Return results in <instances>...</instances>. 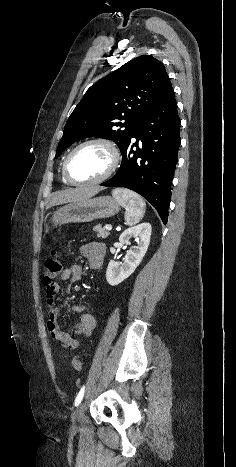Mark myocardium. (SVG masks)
<instances>
[{
  "label": "myocardium",
  "instance_id": "myocardium-1",
  "mask_svg": "<svg viewBox=\"0 0 236 467\" xmlns=\"http://www.w3.org/2000/svg\"><path fill=\"white\" fill-rule=\"evenodd\" d=\"M89 145H100V146L105 147L110 154V158H111L110 165L107 171L99 178H96L91 181H77L76 179L73 178L71 171H70L71 161L74 155L76 154V152H78L80 149L86 146H89ZM120 164H121V153H120L118 146L112 140L108 138H103V137L93 138V139H89L87 141L80 143L69 153V155L67 156L64 162L63 174H64L65 179L72 185H76V186L95 185V184L102 183L106 181L107 179H109L118 170Z\"/></svg>",
  "mask_w": 236,
  "mask_h": 467
}]
</instances>
